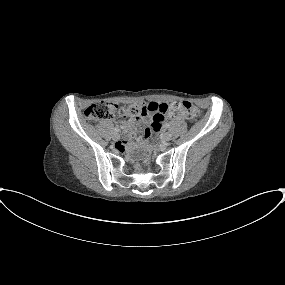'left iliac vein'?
I'll list each match as a JSON object with an SVG mask.
<instances>
[{"label": "left iliac vein", "instance_id": "4c4485c4", "mask_svg": "<svg viewBox=\"0 0 285 285\" xmlns=\"http://www.w3.org/2000/svg\"><path fill=\"white\" fill-rule=\"evenodd\" d=\"M171 138H172V135H171V133H169V132H166V133L164 134V136H163V140H164L165 142H169V141L171 140Z\"/></svg>", "mask_w": 285, "mask_h": 285}]
</instances>
